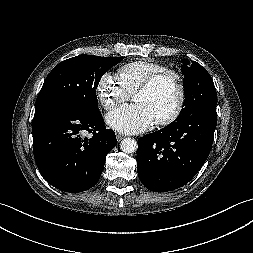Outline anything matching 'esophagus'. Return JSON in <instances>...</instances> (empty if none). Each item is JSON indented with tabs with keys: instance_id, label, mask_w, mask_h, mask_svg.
I'll list each match as a JSON object with an SVG mask.
<instances>
[{
	"instance_id": "34e87169",
	"label": "esophagus",
	"mask_w": 253,
	"mask_h": 253,
	"mask_svg": "<svg viewBox=\"0 0 253 253\" xmlns=\"http://www.w3.org/2000/svg\"><path fill=\"white\" fill-rule=\"evenodd\" d=\"M123 137L124 136L119 133L116 134L117 141H121L123 139Z\"/></svg>"
}]
</instances>
